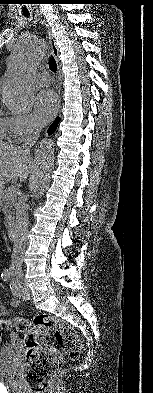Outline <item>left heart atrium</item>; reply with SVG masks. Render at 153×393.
<instances>
[{"label":"left heart atrium","instance_id":"1","mask_svg":"<svg viewBox=\"0 0 153 393\" xmlns=\"http://www.w3.org/2000/svg\"><path fill=\"white\" fill-rule=\"evenodd\" d=\"M59 107L57 94L50 89L42 90L34 101L35 118L42 124L48 122L56 114Z\"/></svg>","mask_w":153,"mask_h":393}]
</instances>
